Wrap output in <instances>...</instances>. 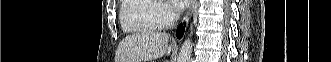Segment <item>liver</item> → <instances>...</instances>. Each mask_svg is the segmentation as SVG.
Segmentation results:
<instances>
[{"label":"liver","instance_id":"liver-1","mask_svg":"<svg viewBox=\"0 0 331 62\" xmlns=\"http://www.w3.org/2000/svg\"><path fill=\"white\" fill-rule=\"evenodd\" d=\"M166 33L142 31L125 37L119 44L115 62H148L169 55L173 46H168Z\"/></svg>","mask_w":331,"mask_h":62}]
</instances>
